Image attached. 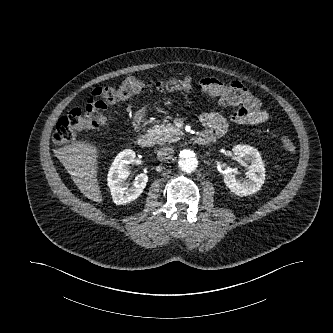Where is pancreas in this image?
Masks as SVG:
<instances>
[{
	"label": "pancreas",
	"instance_id": "pancreas-1",
	"mask_svg": "<svg viewBox=\"0 0 333 333\" xmlns=\"http://www.w3.org/2000/svg\"><path fill=\"white\" fill-rule=\"evenodd\" d=\"M152 131L155 133L158 143L177 142L184 135V132L181 129L175 127L171 123L157 125L153 127Z\"/></svg>",
	"mask_w": 333,
	"mask_h": 333
}]
</instances>
